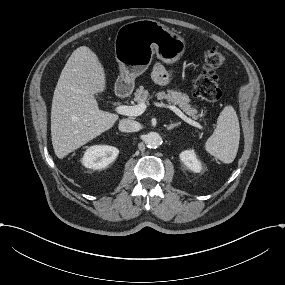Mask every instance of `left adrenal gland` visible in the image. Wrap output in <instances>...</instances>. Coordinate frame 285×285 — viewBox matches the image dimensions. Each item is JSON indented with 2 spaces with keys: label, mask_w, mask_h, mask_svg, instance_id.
Returning a JSON list of instances; mask_svg holds the SVG:
<instances>
[{
  "label": "left adrenal gland",
  "mask_w": 285,
  "mask_h": 285,
  "mask_svg": "<svg viewBox=\"0 0 285 285\" xmlns=\"http://www.w3.org/2000/svg\"><path fill=\"white\" fill-rule=\"evenodd\" d=\"M180 124H181V122L173 123V124L167 125L166 128H167L168 130H171V129H173L174 127L179 126Z\"/></svg>",
  "instance_id": "left-adrenal-gland-1"
}]
</instances>
